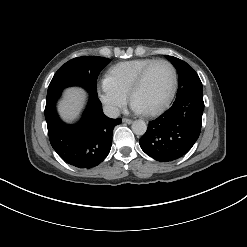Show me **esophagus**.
Wrapping results in <instances>:
<instances>
[{"label": "esophagus", "mask_w": 247, "mask_h": 247, "mask_svg": "<svg viewBox=\"0 0 247 247\" xmlns=\"http://www.w3.org/2000/svg\"><path fill=\"white\" fill-rule=\"evenodd\" d=\"M122 121L127 124H131L133 122L131 119L128 118H123Z\"/></svg>", "instance_id": "1"}]
</instances>
